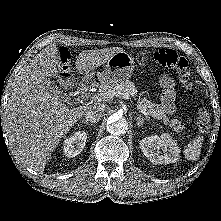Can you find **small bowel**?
Here are the masks:
<instances>
[{"label":"small bowel","instance_id":"1","mask_svg":"<svg viewBox=\"0 0 221 221\" xmlns=\"http://www.w3.org/2000/svg\"><path fill=\"white\" fill-rule=\"evenodd\" d=\"M161 108L166 113H172L175 110V94L173 91H164L161 95Z\"/></svg>","mask_w":221,"mask_h":221}]
</instances>
